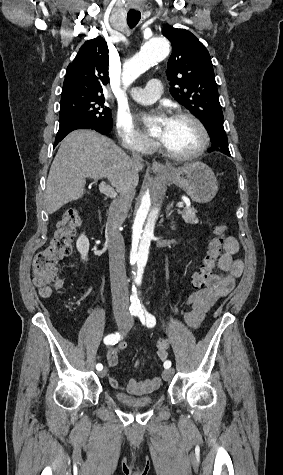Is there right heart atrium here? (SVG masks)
<instances>
[{
  "label": "right heart atrium",
  "instance_id": "obj_1",
  "mask_svg": "<svg viewBox=\"0 0 283 475\" xmlns=\"http://www.w3.org/2000/svg\"><path fill=\"white\" fill-rule=\"evenodd\" d=\"M114 131L119 137L120 151L129 155L150 154L153 148L152 140L138 131L132 120L125 115H119L114 121Z\"/></svg>",
  "mask_w": 283,
  "mask_h": 475
}]
</instances>
